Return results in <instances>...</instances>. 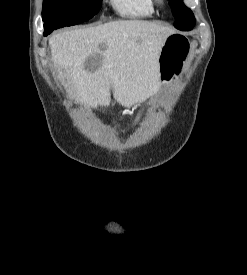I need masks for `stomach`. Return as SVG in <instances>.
<instances>
[{"label":"stomach","instance_id":"stomach-1","mask_svg":"<svg viewBox=\"0 0 247 275\" xmlns=\"http://www.w3.org/2000/svg\"><path fill=\"white\" fill-rule=\"evenodd\" d=\"M190 53V41L185 36L173 33L166 37L158 58L161 84L168 85L182 77Z\"/></svg>","mask_w":247,"mask_h":275}]
</instances>
